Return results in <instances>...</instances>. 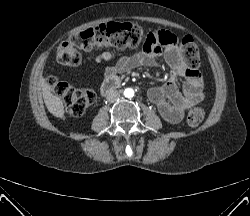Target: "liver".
Listing matches in <instances>:
<instances>
[{
  "mask_svg": "<svg viewBox=\"0 0 250 216\" xmlns=\"http://www.w3.org/2000/svg\"><path fill=\"white\" fill-rule=\"evenodd\" d=\"M41 87L43 92V98L48 111L55 117H64V105L62 99L53 93V89L46 82L44 78H41Z\"/></svg>",
  "mask_w": 250,
  "mask_h": 216,
  "instance_id": "6515ba94",
  "label": "liver"
}]
</instances>
